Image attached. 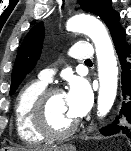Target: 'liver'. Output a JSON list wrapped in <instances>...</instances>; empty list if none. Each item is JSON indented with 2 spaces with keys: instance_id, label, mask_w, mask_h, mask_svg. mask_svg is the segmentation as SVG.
Listing matches in <instances>:
<instances>
[{
  "instance_id": "obj_1",
  "label": "liver",
  "mask_w": 131,
  "mask_h": 151,
  "mask_svg": "<svg viewBox=\"0 0 131 151\" xmlns=\"http://www.w3.org/2000/svg\"><path fill=\"white\" fill-rule=\"evenodd\" d=\"M57 150V148H41V149H34V151H54Z\"/></svg>"
}]
</instances>
